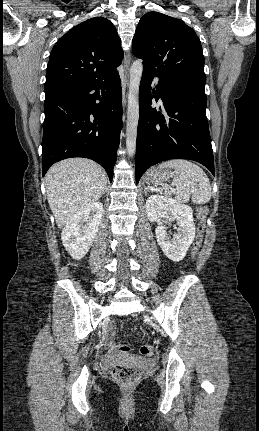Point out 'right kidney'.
Wrapping results in <instances>:
<instances>
[{"label": "right kidney", "mask_w": 259, "mask_h": 431, "mask_svg": "<svg viewBox=\"0 0 259 431\" xmlns=\"http://www.w3.org/2000/svg\"><path fill=\"white\" fill-rule=\"evenodd\" d=\"M103 204L95 202L77 212L62 230L61 239L65 249L74 259H81L92 246L97 233Z\"/></svg>", "instance_id": "obj_1"}]
</instances>
